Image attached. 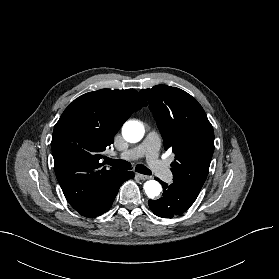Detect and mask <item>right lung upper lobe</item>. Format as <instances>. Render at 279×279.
Returning <instances> with one entry per match:
<instances>
[{
    "label": "right lung upper lobe",
    "instance_id": "cb5924a9",
    "mask_svg": "<svg viewBox=\"0 0 279 279\" xmlns=\"http://www.w3.org/2000/svg\"><path fill=\"white\" fill-rule=\"evenodd\" d=\"M146 105L134 89H101L81 95L61 115L52 137L54 168L76 211L88 208L103 184L120 172L103 167L102 152L131 114Z\"/></svg>",
    "mask_w": 279,
    "mask_h": 279
}]
</instances>
